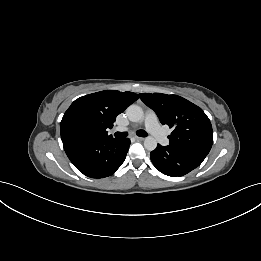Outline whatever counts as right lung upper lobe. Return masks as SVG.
<instances>
[{
  "label": "right lung upper lobe",
  "instance_id": "cb5924a9",
  "mask_svg": "<svg viewBox=\"0 0 261 261\" xmlns=\"http://www.w3.org/2000/svg\"><path fill=\"white\" fill-rule=\"evenodd\" d=\"M138 98L137 94L129 91L105 90L76 99L61 120L62 142L68 140L64 137L66 129L76 123L88 128V139L112 138L106 129L112 128L116 116Z\"/></svg>",
  "mask_w": 261,
  "mask_h": 261
}]
</instances>
